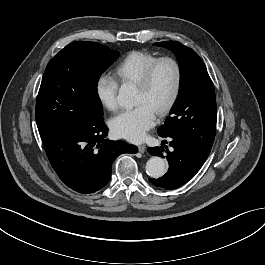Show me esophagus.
Masks as SVG:
<instances>
[{"label":"esophagus","mask_w":265,"mask_h":265,"mask_svg":"<svg viewBox=\"0 0 265 265\" xmlns=\"http://www.w3.org/2000/svg\"><path fill=\"white\" fill-rule=\"evenodd\" d=\"M138 151H139L140 153H144V152L146 151V146H145V145H139V146H138Z\"/></svg>","instance_id":"1"}]
</instances>
